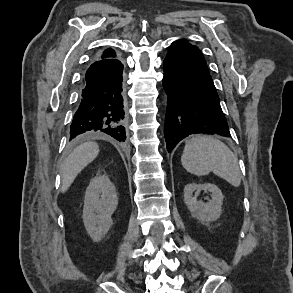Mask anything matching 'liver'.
Returning a JSON list of instances; mask_svg holds the SVG:
<instances>
[{
  "label": "liver",
  "mask_w": 293,
  "mask_h": 293,
  "mask_svg": "<svg viewBox=\"0 0 293 293\" xmlns=\"http://www.w3.org/2000/svg\"><path fill=\"white\" fill-rule=\"evenodd\" d=\"M98 154L99 146L95 142L83 143L69 154L61 166L62 193L68 190L77 175L91 163Z\"/></svg>",
  "instance_id": "1"
}]
</instances>
